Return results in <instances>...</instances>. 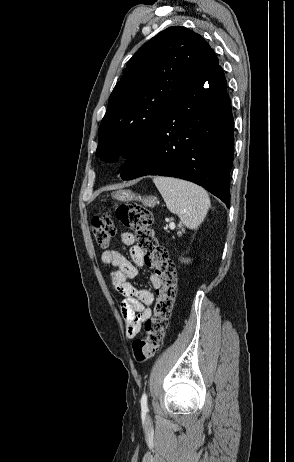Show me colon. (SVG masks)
I'll use <instances>...</instances> for the list:
<instances>
[{
	"mask_svg": "<svg viewBox=\"0 0 294 462\" xmlns=\"http://www.w3.org/2000/svg\"><path fill=\"white\" fill-rule=\"evenodd\" d=\"M114 214L125 227L135 233L137 246L143 253L144 264L153 269L160 280L153 313L144 324L145 337L135 340L132 344L135 360L143 363L154 357L163 343L177 294V275L167 250L154 234L153 217L148 209L137 203L121 204L115 207ZM91 228L96 243L102 248L107 247L115 234L112 216H93Z\"/></svg>",
	"mask_w": 294,
	"mask_h": 462,
	"instance_id": "1",
	"label": "colon"
}]
</instances>
